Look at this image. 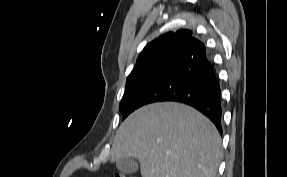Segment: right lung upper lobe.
<instances>
[{
  "label": "right lung upper lobe",
  "instance_id": "1",
  "mask_svg": "<svg viewBox=\"0 0 287 177\" xmlns=\"http://www.w3.org/2000/svg\"><path fill=\"white\" fill-rule=\"evenodd\" d=\"M201 48L202 44L190 30L168 32L145 46L131 73L169 57H176L181 61L191 59L198 55Z\"/></svg>",
  "mask_w": 287,
  "mask_h": 177
}]
</instances>
